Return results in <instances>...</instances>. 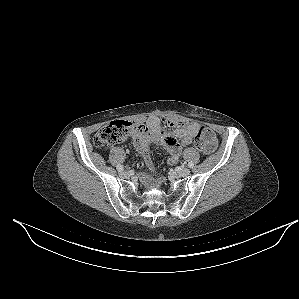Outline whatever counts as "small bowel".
<instances>
[{
	"label": "small bowel",
	"mask_w": 299,
	"mask_h": 299,
	"mask_svg": "<svg viewBox=\"0 0 299 299\" xmlns=\"http://www.w3.org/2000/svg\"><path fill=\"white\" fill-rule=\"evenodd\" d=\"M143 128L133 133V145L137 152L143 157L146 166L155 170L153 159L149 154V146L151 144L162 145L169 153L168 162L176 163L180 157L183 147L193 143L195 136L201 131V127L196 122H190L185 125L175 126L170 131H166L157 117H149ZM204 139L211 147H215L217 139L212 130L205 128ZM148 182V179H145ZM155 185L162 183V179L154 181Z\"/></svg>",
	"instance_id": "c3829d8e"
}]
</instances>
